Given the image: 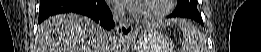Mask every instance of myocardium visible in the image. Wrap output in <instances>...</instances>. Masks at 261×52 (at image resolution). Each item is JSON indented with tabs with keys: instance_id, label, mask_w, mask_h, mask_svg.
<instances>
[{
	"instance_id": "f54148a6",
	"label": "myocardium",
	"mask_w": 261,
	"mask_h": 52,
	"mask_svg": "<svg viewBox=\"0 0 261 52\" xmlns=\"http://www.w3.org/2000/svg\"><path fill=\"white\" fill-rule=\"evenodd\" d=\"M164 1L165 2L163 4V7L156 12H152V13L142 12L140 11L137 4L133 8H130V11L143 21H147V22L158 21L170 14V12L172 11L173 4L175 2L174 0H164Z\"/></svg>"
}]
</instances>
